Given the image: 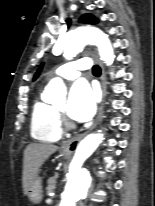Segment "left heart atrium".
Returning a JSON list of instances; mask_svg holds the SVG:
<instances>
[{
    "instance_id": "obj_1",
    "label": "left heart atrium",
    "mask_w": 155,
    "mask_h": 206,
    "mask_svg": "<svg viewBox=\"0 0 155 206\" xmlns=\"http://www.w3.org/2000/svg\"><path fill=\"white\" fill-rule=\"evenodd\" d=\"M96 106L95 94L85 81H77L70 90L67 113L75 121L84 122L89 120Z\"/></svg>"
}]
</instances>
